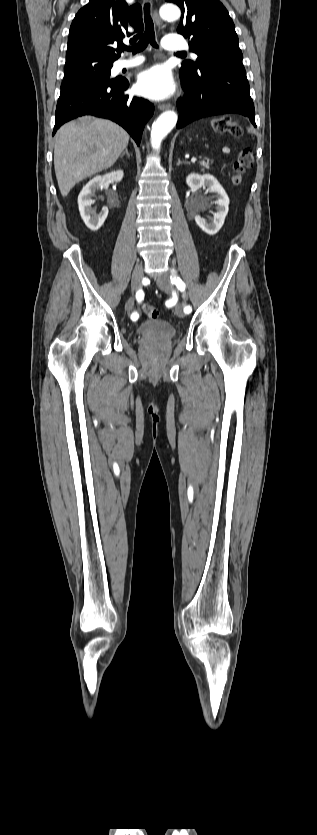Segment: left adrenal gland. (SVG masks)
I'll return each instance as SVG.
<instances>
[{
  "label": "left adrenal gland",
  "instance_id": "1",
  "mask_svg": "<svg viewBox=\"0 0 317 835\" xmlns=\"http://www.w3.org/2000/svg\"><path fill=\"white\" fill-rule=\"evenodd\" d=\"M182 163H184V164H190V162H188V161H183V162H181V160H180V159H178L177 166H180V164H182Z\"/></svg>",
  "mask_w": 317,
  "mask_h": 835
}]
</instances>
